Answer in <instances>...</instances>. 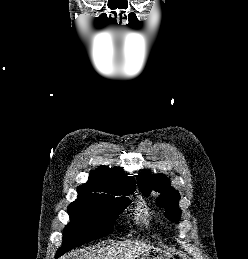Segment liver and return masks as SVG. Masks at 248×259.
I'll use <instances>...</instances> for the list:
<instances>
[{"mask_svg": "<svg viewBox=\"0 0 248 259\" xmlns=\"http://www.w3.org/2000/svg\"><path fill=\"white\" fill-rule=\"evenodd\" d=\"M150 248V245L143 242L127 240L83 253L69 254L63 259H135Z\"/></svg>", "mask_w": 248, "mask_h": 259, "instance_id": "liver-1", "label": "liver"}]
</instances>
